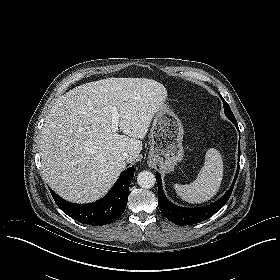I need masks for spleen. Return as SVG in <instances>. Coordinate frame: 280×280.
Returning <instances> with one entry per match:
<instances>
[{
	"label": "spleen",
	"instance_id": "1",
	"mask_svg": "<svg viewBox=\"0 0 280 280\" xmlns=\"http://www.w3.org/2000/svg\"><path fill=\"white\" fill-rule=\"evenodd\" d=\"M224 165L220 153L210 148L205 155V162L196 180L190 184H175L180 198L188 203H203L214 197L223 179Z\"/></svg>",
	"mask_w": 280,
	"mask_h": 280
}]
</instances>
